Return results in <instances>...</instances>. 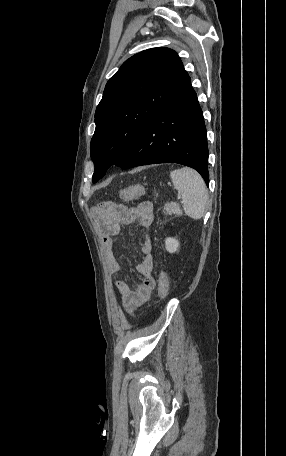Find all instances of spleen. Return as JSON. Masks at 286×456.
Masks as SVG:
<instances>
[{
  "label": "spleen",
  "instance_id": "obj_1",
  "mask_svg": "<svg viewBox=\"0 0 286 456\" xmlns=\"http://www.w3.org/2000/svg\"><path fill=\"white\" fill-rule=\"evenodd\" d=\"M174 188L182 196L184 212L192 219H201L208 205V190L203 178L193 169L184 167L170 173Z\"/></svg>",
  "mask_w": 286,
  "mask_h": 456
}]
</instances>
